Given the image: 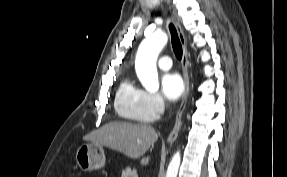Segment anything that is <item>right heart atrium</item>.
<instances>
[{
	"label": "right heart atrium",
	"instance_id": "right-heart-atrium-1",
	"mask_svg": "<svg viewBox=\"0 0 287 177\" xmlns=\"http://www.w3.org/2000/svg\"><path fill=\"white\" fill-rule=\"evenodd\" d=\"M145 107L150 117L158 118L165 109V103L158 93L145 92Z\"/></svg>",
	"mask_w": 287,
	"mask_h": 177
}]
</instances>
